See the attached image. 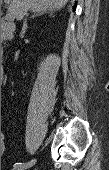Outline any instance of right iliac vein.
<instances>
[{"label":"right iliac vein","mask_w":109,"mask_h":170,"mask_svg":"<svg viewBox=\"0 0 109 170\" xmlns=\"http://www.w3.org/2000/svg\"><path fill=\"white\" fill-rule=\"evenodd\" d=\"M29 167H18V168H14L13 170H26Z\"/></svg>","instance_id":"right-iliac-vein-1"}]
</instances>
